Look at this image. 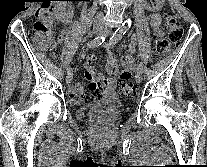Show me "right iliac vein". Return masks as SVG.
<instances>
[{
  "instance_id": "1",
  "label": "right iliac vein",
  "mask_w": 207,
  "mask_h": 167,
  "mask_svg": "<svg viewBox=\"0 0 207 167\" xmlns=\"http://www.w3.org/2000/svg\"><path fill=\"white\" fill-rule=\"evenodd\" d=\"M94 34L95 35H100L101 34V31L99 29H94ZM72 78H73V72L72 70L70 72H68L67 74V77H66V83H70L72 81Z\"/></svg>"
}]
</instances>
